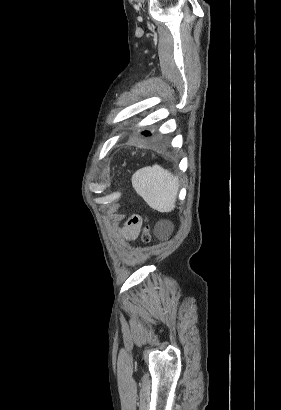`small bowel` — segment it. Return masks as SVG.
I'll return each mask as SVG.
<instances>
[{
	"label": "small bowel",
	"mask_w": 281,
	"mask_h": 410,
	"mask_svg": "<svg viewBox=\"0 0 281 410\" xmlns=\"http://www.w3.org/2000/svg\"><path fill=\"white\" fill-rule=\"evenodd\" d=\"M140 231V225L138 223H133L129 220L126 227L123 229V235L127 239H135Z\"/></svg>",
	"instance_id": "1"
}]
</instances>
